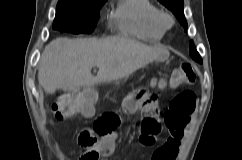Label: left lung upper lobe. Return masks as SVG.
Segmentation results:
<instances>
[{
  "mask_svg": "<svg viewBox=\"0 0 242 160\" xmlns=\"http://www.w3.org/2000/svg\"><path fill=\"white\" fill-rule=\"evenodd\" d=\"M160 3L165 5L168 9H170L180 24L184 27V30H187V22L183 13L184 3L183 0H159ZM190 56L197 62L202 63V58L197 52L193 41L190 42Z\"/></svg>",
  "mask_w": 242,
  "mask_h": 160,
  "instance_id": "obj_1",
  "label": "left lung upper lobe"
}]
</instances>
